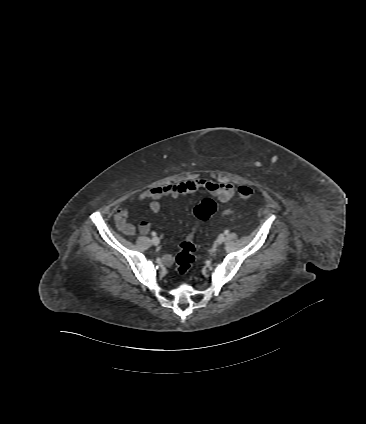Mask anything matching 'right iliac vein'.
<instances>
[{"label": "right iliac vein", "instance_id": "1", "mask_svg": "<svg viewBox=\"0 0 366 424\" xmlns=\"http://www.w3.org/2000/svg\"><path fill=\"white\" fill-rule=\"evenodd\" d=\"M159 239L157 238V237H154L153 239H152V244L153 245H155V246H157L158 244H159Z\"/></svg>", "mask_w": 366, "mask_h": 424}]
</instances>
